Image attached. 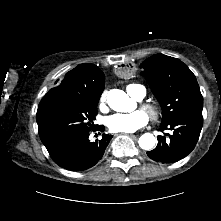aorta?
<instances>
[{
    "label": "aorta",
    "instance_id": "obj_1",
    "mask_svg": "<svg viewBox=\"0 0 221 221\" xmlns=\"http://www.w3.org/2000/svg\"><path fill=\"white\" fill-rule=\"evenodd\" d=\"M107 103L117 112H130L134 108V101L122 90L112 89L107 94ZM139 146L144 150L154 148L156 139L153 134L145 133L139 138Z\"/></svg>",
    "mask_w": 221,
    "mask_h": 221
}]
</instances>
